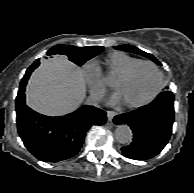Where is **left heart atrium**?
Masks as SVG:
<instances>
[{
    "mask_svg": "<svg viewBox=\"0 0 194 193\" xmlns=\"http://www.w3.org/2000/svg\"><path fill=\"white\" fill-rule=\"evenodd\" d=\"M121 101H122V100H121V98H120V96H119L118 93L114 94V95L111 97V99H110V103H111V104H117V103H119V102H121Z\"/></svg>",
    "mask_w": 194,
    "mask_h": 193,
    "instance_id": "39dd6f15",
    "label": "left heart atrium"
}]
</instances>
